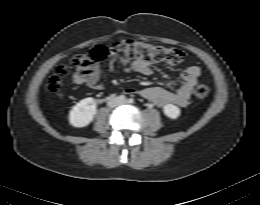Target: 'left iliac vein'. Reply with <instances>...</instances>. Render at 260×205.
I'll return each instance as SVG.
<instances>
[{
    "mask_svg": "<svg viewBox=\"0 0 260 205\" xmlns=\"http://www.w3.org/2000/svg\"><path fill=\"white\" fill-rule=\"evenodd\" d=\"M127 102H128L127 100H122V101L120 100L119 104H126Z\"/></svg>",
    "mask_w": 260,
    "mask_h": 205,
    "instance_id": "1",
    "label": "left iliac vein"
}]
</instances>
